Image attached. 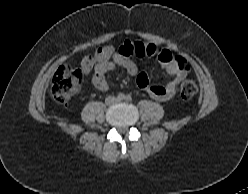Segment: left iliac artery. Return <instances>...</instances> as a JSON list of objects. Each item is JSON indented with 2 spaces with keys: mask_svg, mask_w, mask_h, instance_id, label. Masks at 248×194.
<instances>
[{
  "mask_svg": "<svg viewBox=\"0 0 248 194\" xmlns=\"http://www.w3.org/2000/svg\"><path fill=\"white\" fill-rule=\"evenodd\" d=\"M125 100H126V101H128V102H129V101H131V100H132L131 95H127V96H125Z\"/></svg>",
  "mask_w": 248,
  "mask_h": 194,
  "instance_id": "44dca946",
  "label": "left iliac artery"
}]
</instances>
